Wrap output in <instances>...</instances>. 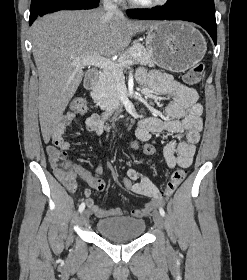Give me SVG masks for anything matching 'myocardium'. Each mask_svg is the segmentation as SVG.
Listing matches in <instances>:
<instances>
[{"instance_id": "f54148a6", "label": "myocardium", "mask_w": 247, "mask_h": 280, "mask_svg": "<svg viewBox=\"0 0 247 280\" xmlns=\"http://www.w3.org/2000/svg\"><path fill=\"white\" fill-rule=\"evenodd\" d=\"M129 3L137 8H141V9H154V8H158L161 7L165 4H167L169 2V0H152L149 2H140L137 0H128Z\"/></svg>"}]
</instances>
